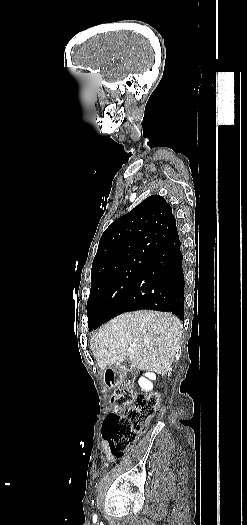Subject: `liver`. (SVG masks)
I'll return each instance as SVG.
<instances>
[{"label":"liver","instance_id":"obj_1","mask_svg":"<svg viewBox=\"0 0 247 525\" xmlns=\"http://www.w3.org/2000/svg\"><path fill=\"white\" fill-rule=\"evenodd\" d=\"M182 323L172 313L132 311L111 319L90 343L100 371L130 361L134 369L165 377L179 349Z\"/></svg>","mask_w":247,"mask_h":525}]
</instances>
